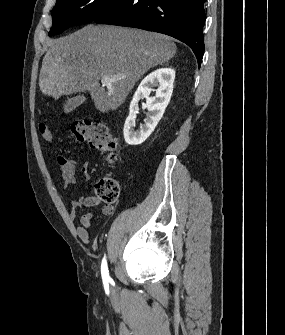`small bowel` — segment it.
<instances>
[{
  "label": "small bowel",
  "instance_id": "1",
  "mask_svg": "<svg viewBox=\"0 0 285 335\" xmlns=\"http://www.w3.org/2000/svg\"><path fill=\"white\" fill-rule=\"evenodd\" d=\"M57 161L61 171L63 187L64 189H69L76 183L77 165L75 162L62 156H59ZM80 172L85 180L90 179L89 165L87 162L81 164ZM100 203V200L94 196L79 197L72 201L69 216L72 220H75L78 216L79 209L95 207ZM113 212V205L104 204L102 206V213L104 215L108 216ZM92 218L91 213H85L79 217L80 226L77 229V234L84 243H89L91 239L90 228L92 225Z\"/></svg>",
  "mask_w": 285,
  "mask_h": 335
}]
</instances>
